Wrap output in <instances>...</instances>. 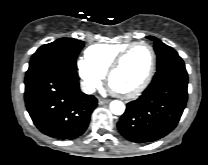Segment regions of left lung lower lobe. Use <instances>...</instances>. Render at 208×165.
Returning a JSON list of instances; mask_svg holds the SVG:
<instances>
[{
    "mask_svg": "<svg viewBox=\"0 0 208 165\" xmlns=\"http://www.w3.org/2000/svg\"><path fill=\"white\" fill-rule=\"evenodd\" d=\"M187 85L183 60L177 59L158 68L143 94L127 104L118 122L119 132L137 143L155 141L169 134L186 106Z\"/></svg>",
    "mask_w": 208,
    "mask_h": 165,
    "instance_id": "left-lung-lower-lobe-1",
    "label": "left lung lower lobe"
}]
</instances>
